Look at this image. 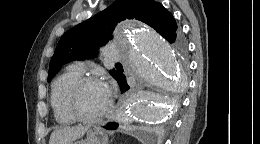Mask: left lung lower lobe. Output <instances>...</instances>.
<instances>
[{"label":"left lung lower lobe","instance_id":"0a47b994","mask_svg":"<svg viewBox=\"0 0 260 144\" xmlns=\"http://www.w3.org/2000/svg\"><path fill=\"white\" fill-rule=\"evenodd\" d=\"M173 41H175L176 43H183L181 34L177 33L174 36ZM116 80L120 86L121 93H124L129 89V86L126 82V78H125L124 74L120 73ZM117 127H118V123H116V122H110L105 126V128L108 130L116 129Z\"/></svg>","mask_w":260,"mask_h":144}]
</instances>
